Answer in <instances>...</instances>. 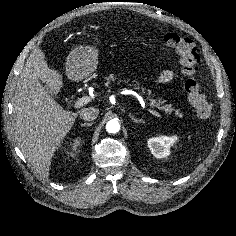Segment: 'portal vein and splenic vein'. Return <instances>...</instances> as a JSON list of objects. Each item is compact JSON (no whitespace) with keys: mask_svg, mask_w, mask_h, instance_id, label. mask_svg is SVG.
Returning a JSON list of instances; mask_svg holds the SVG:
<instances>
[{"mask_svg":"<svg viewBox=\"0 0 236 236\" xmlns=\"http://www.w3.org/2000/svg\"><path fill=\"white\" fill-rule=\"evenodd\" d=\"M91 100H92L91 96H83L82 98H80L79 100H77L75 102L74 108H80V107L88 104ZM148 111L152 115L156 116L157 118H161V115L157 111H155V110H153L151 108H148Z\"/></svg>","mask_w":236,"mask_h":236,"instance_id":"18ae733b","label":"portal vein and splenic vein"}]
</instances>
